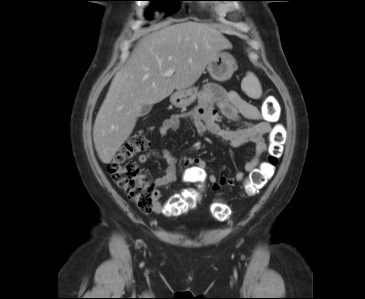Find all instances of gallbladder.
Masks as SVG:
<instances>
[{
  "instance_id": "bac80fb5",
  "label": "gallbladder",
  "mask_w": 365,
  "mask_h": 299,
  "mask_svg": "<svg viewBox=\"0 0 365 299\" xmlns=\"http://www.w3.org/2000/svg\"><path fill=\"white\" fill-rule=\"evenodd\" d=\"M151 109H152V105H143L140 110L139 116L147 115L151 111Z\"/></svg>"
}]
</instances>
